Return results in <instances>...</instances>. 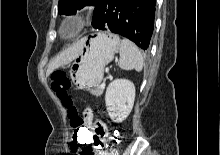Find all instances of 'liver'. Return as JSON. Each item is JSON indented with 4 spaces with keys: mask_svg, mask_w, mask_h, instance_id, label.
<instances>
[{
    "mask_svg": "<svg viewBox=\"0 0 220 155\" xmlns=\"http://www.w3.org/2000/svg\"><path fill=\"white\" fill-rule=\"evenodd\" d=\"M82 47H83V40H81L75 46H72L67 50L63 51L62 53H60L56 58H54L49 63L46 75L48 76L55 69L73 61L79 55Z\"/></svg>",
    "mask_w": 220,
    "mask_h": 155,
    "instance_id": "6515ba94",
    "label": "liver"
}]
</instances>
